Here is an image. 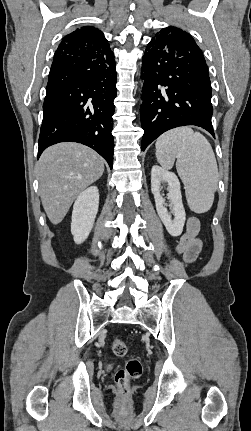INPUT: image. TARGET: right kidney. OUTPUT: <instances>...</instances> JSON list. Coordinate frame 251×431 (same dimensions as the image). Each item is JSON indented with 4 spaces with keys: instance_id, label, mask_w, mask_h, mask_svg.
Wrapping results in <instances>:
<instances>
[{
    "instance_id": "obj_1",
    "label": "right kidney",
    "mask_w": 251,
    "mask_h": 431,
    "mask_svg": "<svg viewBox=\"0 0 251 431\" xmlns=\"http://www.w3.org/2000/svg\"><path fill=\"white\" fill-rule=\"evenodd\" d=\"M99 207V192L91 186L77 197L72 212L71 233L76 244H81L89 236Z\"/></svg>"
}]
</instances>
